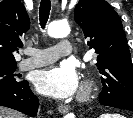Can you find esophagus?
I'll list each match as a JSON object with an SVG mask.
<instances>
[{
    "label": "esophagus",
    "mask_w": 133,
    "mask_h": 118,
    "mask_svg": "<svg viewBox=\"0 0 133 118\" xmlns=\"http://www.w3.org/2000/svg\"><path fill=\"white\" fill-rule=\"evenodd\" d=\"M58 2V0H52V3L54 5H56ZM70 107L68 105H65V104H59L58 106V111L61 113V114H65L69 111Z\"/></svg>",
    "instance_id": "obj_1"
}]
</instances>
